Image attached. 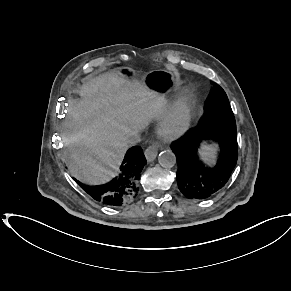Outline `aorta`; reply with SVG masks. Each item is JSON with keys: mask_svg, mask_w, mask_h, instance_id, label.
<instances>
[{"mask_svg": "<svg viewBox=\"0 0 291 291\" xmlns=\"http://www.w3.org/2000/svg\"><path fill=\"white\" fill-rule=\"evenodd\" d=\"M158 162L162 167L171 168L176 164V156L171 150H164L159 154Z\"/></svg>", "mask_w": 291, "mask_h": 291, "instance_id": "aorta-1", "label": "aorta"}]
</instances>
